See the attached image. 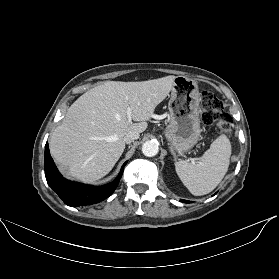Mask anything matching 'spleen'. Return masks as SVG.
<instances>
[{
    "label": "spleen",
    "mask_w": 279,
    "mask_h": 279,
    "mask_svg": "<svg viewBox=\"0 0 279 279\" xmlns=\"http://www.w3.org/2000/svg\"><path fill=\"white\" fill-rule=\"evenodd\" d=\"M231 143L220 135L197 162L182 160L175 163L180 180L195 196L213 191L224 178L230 162Z\"/></svg>",
    "instance_id": "obj_1"
}]
</instances>
